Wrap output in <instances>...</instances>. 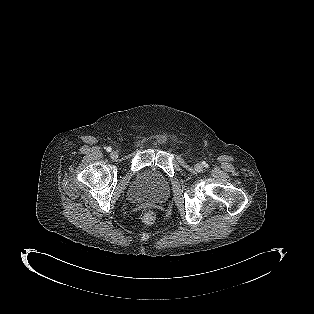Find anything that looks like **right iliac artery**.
<instances>
[{"instance_id":"82829eb1","label":"right iliac artery","mask_w":314,"mask_h":314,"mask_svg":"<svg viewBox=\"0 0 314 314\" xmlns=\"http://www.w3.org/2000/svg\"><path fill=\"white\" fill-rule=\"evenodd\" d=\"M105 149L107 152H110L112 150L111 147H106Z\"/></svg>"}]
</instances>
